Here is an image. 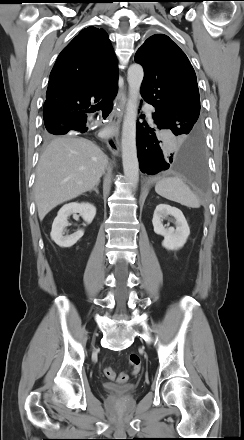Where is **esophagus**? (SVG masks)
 I'll list each match as a JSON object with an SVG mask.
<instances>
[{
    "label": "esophagus",
    "instance_id": "esophagus-1",
    "mask_svg": "<svg viewBox=\"0 0 244 440\" xmlns=\"http://www.w3.org/2000/svg\"><path fill=\"white\" fill-rule=\"evenodd\" d=\"M126 103H127V88L126 86H123L122 88L119 89L118 94L115 98L114 110L111 114V119H110V126L114 127L116 131L119 129L120 123L122 121ZM106 143L109 150L113 154L115 155L119 154L120 141L117 133L108 137Z\"/></svg>",
    "mask_w": 244,
    "mask_h": 440
}]
</instances>
